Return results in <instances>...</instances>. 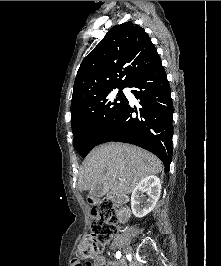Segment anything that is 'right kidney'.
<instances>
[{
  "label": "right kidney",
  "instance_id": "obj_1",
  "mask_svg": "<svg viewBox=\"0 0 221 266\" xmlns=\"http://www.w3.org/2000/svg\"><path fill=\"white\" fill-rule=\"evenodd\" d=\"M143 193H147L148 199L142 205ZM161 194V181L155 175H150L142 179L133 189L131 195V209L133 214L142 218L155 207Z\"/></svg>",
  "mask_w": 221,
  "mask_h": 266
}]
</instances>
